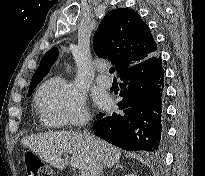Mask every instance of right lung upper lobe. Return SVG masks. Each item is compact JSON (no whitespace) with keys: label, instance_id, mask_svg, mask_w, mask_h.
Returning <instances> with one entry per match:
<instances>
[{"label":"right lung upper lobe","instance_id":"cb5924a9","mask_svg":"<svg viewBox=\"0 0 205 176\" xmlns=\"http://www.w3.org/2000/svg\"><path fill=\"white\" fill-rule=\"evenodd\" d=\"M93 43L98 55L107 58L116 67L118 76L146 58L159 55L147 24L138 13L127 8L115 9L105 15L94 34ZM57 57L56 47L42 57L29 90H34L47 75Z\"/></svg>","mask_w":205,"mask_h":176}]
</instances>
